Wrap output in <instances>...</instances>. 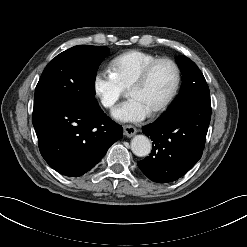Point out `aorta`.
<instances>
[{"instance_id":"762f6f07","label":"aorta","mask_w":247,"mask_h":247,"mask_svg":"<svg viewBox=\"0 0 247 247\" xmlns=\"http://www.w3.org/2000/svg\"><path fill=\"white\" fill-rule=\"evenodd\" d=\"M151 148V142L145 135H136L131 140V150L138 157L149 155Z\"/></svg>"}]
</instances>
